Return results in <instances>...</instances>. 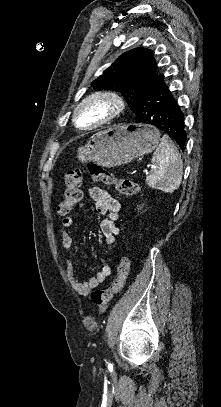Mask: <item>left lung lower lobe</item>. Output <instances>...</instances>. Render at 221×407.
Listing matches in <instances>:
<instances>
[{
	"label": "left lung lower lobe",
	"instance_id": "obj_1",
	"mask_svg": "<svg viewBox=\"0 0 221 407\" xmlns=\"http://www.w3.org/2000/svg\"><path fill=\"white\" fill-rule=\"evenodd\" d=\"M135 119L137 123L153 125L163 130L184 148L187 139L184 114L163 75L141 92Z\"/></svg>",
	"mask_w": 221,
	"mask_h": 407
}]
</instances>
